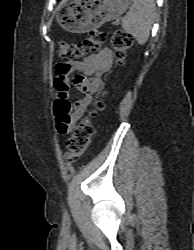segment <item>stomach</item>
I'll return each mask as SVG.
<instances>
[{
  "label": "stomach",
  "mask_w": 194,
  "mask_h": 250,
  "mask_svg": "<svg viewBox=\"0 0 194 250\" xmlns=\"http://www.w3.org/2000/svg\"><path fill=\"white\" fill-rule=\"evenodd\" d=\"M133 0H64L59 6L58 23L67 31L84 33L117 19Z\"/></svg>",
  "instance_id": "obj_1"
}]
</instances>
